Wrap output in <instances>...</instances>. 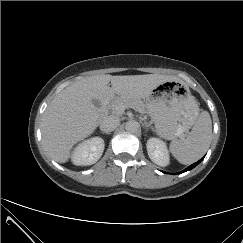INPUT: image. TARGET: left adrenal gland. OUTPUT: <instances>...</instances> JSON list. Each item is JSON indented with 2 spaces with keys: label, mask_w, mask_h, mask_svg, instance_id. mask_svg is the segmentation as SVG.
<instances>
[{
  "label": "left adrenal gland",
  "mask_w": 243,
  "mask_h": 243,
  "mask_svg": "<svg viewBox=\"0 0 243 243\" xmlns=\"http://www.w3.org/2000/svg\"><path fill=\"white\" fill-rule=\"evenodd\" d=\"M143 126L145 127V130L147 131L149 128L153 129L152 126L148 123H144Z\"/></svg>",
  "instance_id": "a2214340"
}]
</instances>
